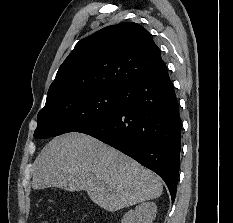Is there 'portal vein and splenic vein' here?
<instances>
[{
    "label": "portal vein and splenic vein",
    "mask_w": 233,
    "mask_h": 223,
    "mask_svg": "<svg viewBox=\"0 0 233 223\" xmlns=\"http://www.w3.org/2000/svg\"><path fill=\"white\" fill-rule=\"evenodd\" d=\"M91 179H95V175H91Z\"/></svg>",
    "instance_id": "18ae733b"
}]
</instances>
